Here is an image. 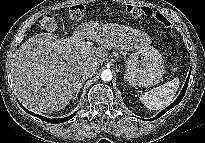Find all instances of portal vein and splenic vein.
Listing matches in <instances>:
<instances>
[{
	"mask_svg": "<svg viewBox=\"0 0 205 143\" xmlns=\"http://www.w3.org/2000/svg\"><path fill=\"white\" fill-rule=\"evenodd\" d=\"M82 45H83V46H86V47H90V46H92L93 44H92V42H83Z\"/></svg>",
	"mask_w": 205,
	"mask_h": 143,
	"instance_id": "obj_1",
	"label": "portal vein and splenic vein"
}]
</instances>
